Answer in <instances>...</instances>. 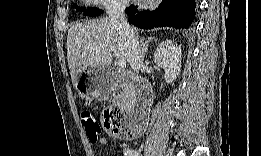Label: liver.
<instances>
[{"instance_id":"1","label":"liver","mask_w":261,"mask_h":156,"mask_svg":"<svg viewBox=\"0 0 261 156\" xmlns=\"http://www.w3.org/2000/svg\"><path fill=\"white\" fill-rule=\"evenodd\" d=\"M133 30L138 34L136 28ZM113 57L128 61L126 41L108 17L76 23L70 27L67 61L74 86L87 68L109 66Z\"/></svg>"}]
</instances>
